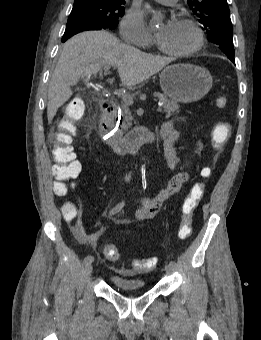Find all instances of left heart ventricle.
I'll return each instance as SVG.
<instances>
[{
	"mask_svg": "<svg viewBox=\"0 0 261 340\" xmlns=\"http://www.w3.org/2000/svg\"><path fill=\"white\" fill-rule=\"evenodd\" d=\"M157 36L165 48L173 51H185L191 49L196 44L194 30L180 22H177L175 27L169 32H165L164 28H161Z\"/></svg>",
	"mask_w": 261,
	"mask_h": 340,
	"instance_id": "left-heart-ventricle-1",
	"label": "left heart ventricle"
}]
</instances>
